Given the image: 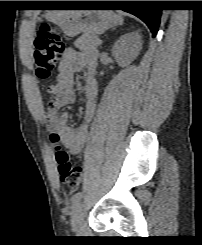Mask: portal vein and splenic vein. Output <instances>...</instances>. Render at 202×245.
Instances as JSON below:
<instances>
[{
    "instance_id": "obj_1",
    "label": "portal vein and splenic vein",
    "mask_w": 202,
    "mask_h": 245,
    "mask_svg": "<svg viewBox=\"0 0 202 245\" xmlns=\"http://www.w3.org/2000/svg\"><path fill=\"white\" fill-rule=\"evenodd\" d=\"M98 42H99L100 44H102V43H103V41H102L101 39H98Z\"/></svg>"
}]
</instances>
